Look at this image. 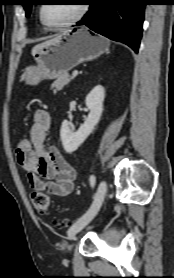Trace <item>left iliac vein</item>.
Returning a JSON list of instances; mask_svg holds the SVG:
<instances>
[{"label": "left iliac vein", "instance_id": "left-iliac-vein-1", "mask_svg": "<svg viewBox=\"0 0 174 278\" xmlns=\"http://www.w3.org/2000/svg\"><path fill=\"white\" fill-rule=\"evenodd\" d=\"M107 192L106 181H101L90 208L68 230V238L72 240L99 212Z\"/></svg>", "mask_w": 174, "mask_h": 278}]
</instances>
